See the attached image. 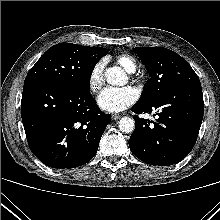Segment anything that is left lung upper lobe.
<instances>
[{
  "label": "left lung upper lobe",
  "mask_w": 220,
  "mask_h": 220,
  "mask_svg": "<svg viewBox=\"0 0 220 220\" xmlns=\"http://www.w3.org/2000/svg\"><path fill=\"white\" fill-rule=\"evenodd\" d=\"M133 50L151 77L144 86L139 104L151 103L183 85L200 83L189 63L172 50L159 47H136Z\"/></svg>",
  "instance_id": "obj_1"
}]
</instances>
